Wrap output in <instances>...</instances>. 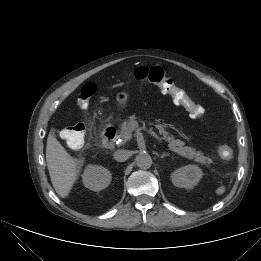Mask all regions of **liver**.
I'll list each match as a JSON object with an SVG mask.
<instances>
[{"mask_svg":"<svg viewBox=\"0 0 261 261\" xmlns=\"http://www.w3.org/2000/svg\"><path fill=\"white\" fill-rule=\"evenodd\" d=\"M46 161L55 191L66 198L77 180L82 161L70 156L52 133L47 138Z\"/></svg>","mask_w":261,"mask_h":261,"instance_id":"liver-1","label":"liver"}]
</instances>
